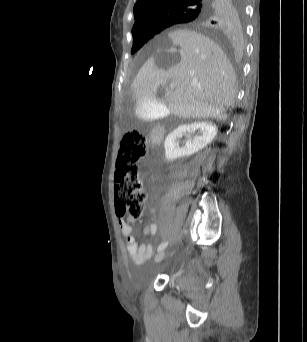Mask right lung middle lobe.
Wrapping results in <instances>:
<instances>
[{"label": "right lung middle lobe", "instance_id": "dd1d6c3e", "mask_svg": "<svg viewBox=\"0 0 307 342\" xmlns=\"http://www.w3.org/2000/svg\"><path fill=\"white\" fill-rule=\"evenodd\" d=\"M193 14V11L180 12L174 15L172 20L175 22L184 21L193 16ZM159 32L160 30H153L133 35V47L131 49V53L133 54L137 52L149 39H151L154 35H156Z\"/></svg>", "mask_w": 307, "mask_h": 342}]
</instances>
